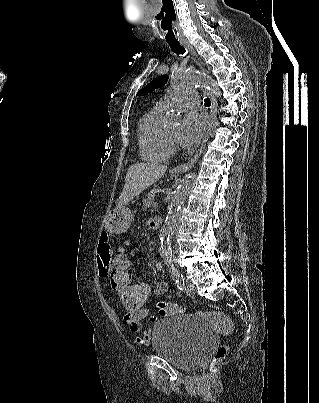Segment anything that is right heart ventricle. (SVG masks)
Listing matches in <instances>:
<instances>
[{
    "label": "right heart ventricle",
    "instance_id": "obj_1",
    "mask_svg": "<svg viewBox=\"0 0 319 403\" xmlns=\"http://www.w3.org/2000/svg\"><path fill=\"white\" fill-rule=\"evenodd\" d=\"M165 109L155 105L146 112L138 124L139 153L148 162H164L169 158V151L164 140L161 120Z\"/></svg>",
    "mask_w": 319,
    "mask_h": 403
}]
</instances>
